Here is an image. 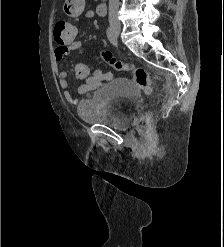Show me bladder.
<instances>
[{
  "mask_svg": "<svg viewBox=\"0 0 224 247\" xmlns=\"http://www.w3.org/2000/svg\"><path fill=\"white\" fill-rule=\"evenodd\" d=\"M138 104L134 83L119 77L92 91L78 104L77 114L88 124L124 131L133 124Z\"/></svg>",
  "mask_w": 224,
  "mask_h": 247,
  "instance_id": "31cf9c89",
  "label": "bladder"
}]
</instances>
